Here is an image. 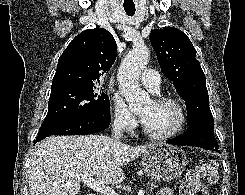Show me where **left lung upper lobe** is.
I'll return each mask as SVG.
<instances>
[{"instance_id": "1", "label": "left lung upper lobe", "mask_w": 245, "mask_h": 195, "mask_svg": "<svg viewBox=\"0 0 245 195\" xmlns=\"http://www.w3.org/2000/svg\"><path fill=\"white\" fill-rule=\"evenodd\" d=\"M149 38L163 74L186 102L188 125L214 131L206 78L190 39L172 27L153 30Z\"/></svg>"}]
</instances>
